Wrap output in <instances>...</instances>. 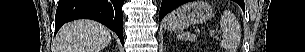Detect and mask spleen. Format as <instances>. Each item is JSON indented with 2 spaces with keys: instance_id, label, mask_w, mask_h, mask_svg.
I'll return each instance as SVG.
<instances>
[{
  "instance_id": "1",
  "label": "spleen",
  "mask_w": 305,
  "mask_h": 52,
  "mask_svg": "<svg viewBox=\"0 0 305 52\" xmlns=\"http://www.w3.org/2000/svg\"><path fill=\"white\" fill-rule=\"evenodd\" d=\"M234 25H235V21L233 15L230 12L225 11L220 19V26L223 33L220 46L226 49L227 51L234 50V44L229 37V32L231 28L234 27ZM178 37L182 40H188V41H195L197 39L195 35L189 32H185L182 35H179Z\"/></svg>"
}]
</instances>
